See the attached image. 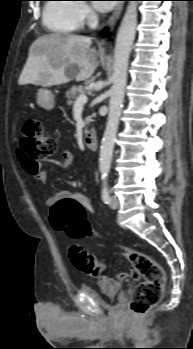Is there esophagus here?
I'll list each match as a JSON object with an SVG mask.
<instances>
[{"instance_id":"34e87169","label":"esophagus","mask_w":193,"mask_h":349,"mask_svg":"<svg viewBox=\"0 0 193 349\" xmlns=\"http://www.w3.org/2000/svg\"><path fill=\"white\" fill-rule=\"evenodd\" d=\"M122 9H123V3H122V1H119L114 9V12L112 13V15L107 23V27L109 29V32H111L114 29L120 15H121Z\"/></svg>"}]
</instances>
